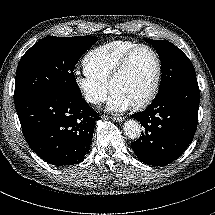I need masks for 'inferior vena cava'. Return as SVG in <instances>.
Listing matches in <instances>:
<instances>
[{
	"label": "inferior vena cava",
	"mask_w": 215,
	"mask_h": 215,
	"mask_svg": "<svg viewBox=\"0 0 215 215\" xmlns=\"http://www.w3.org/2000/svg\"><path fill=\"white\" fill-rule=\"evenodd\" d=\"M94 97H95V95H93V94H88V95H86V99H87L88 101H90V102L93 101Z\"/></svg>",
	"instance_id": "inferior-vena-cava-1"
}]
</instances>
